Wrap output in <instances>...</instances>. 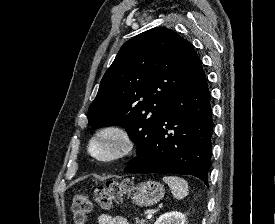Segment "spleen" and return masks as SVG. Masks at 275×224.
<instances>
[{
    "label": "spleen",
    "instance_id": "1",
    "mask_svg": "<svg viewBox=\"0 0 275 224\" xmlns=\"http://www.w3.org/2000/svg\"><path fill=\"white\" fill-rule=\"evenodd\" d=\"M163 181L168 184L173 196L177 200L183 199L188 195V183L183 178L177 176H164Z\"/></svg>",
    "mask_w": 275,
    "mask_h": 224
}]
</instances>
